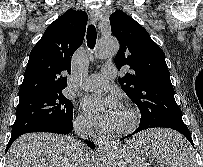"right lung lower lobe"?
Instances as JSON below:
<instances>
[{
    "instance_id": "98d812e1",
    "label": "right lung lower lobe",
    "mask_w": 203,
    "mask_h": 167,
    "mask_svg": "<svg viewBox=\"0 0 203 167\" xmlns=\"http://www.w3.org/2000/svg\"><path fill=\"white\" fill-rule=\"evenodd\" d=\"M73 129L72 121L63 123V124H56V125H49V126H44L38 129H35L31 132H52V133H59V134H68L71 132ZM19 136L16 137H11L7 147L6 151L9 149L11 144L18 138ZM84 142L92 149H95V145L88 140H84Z\"/></svg>"
}]
</instances>
